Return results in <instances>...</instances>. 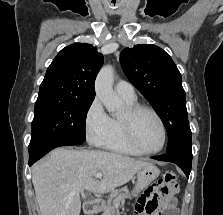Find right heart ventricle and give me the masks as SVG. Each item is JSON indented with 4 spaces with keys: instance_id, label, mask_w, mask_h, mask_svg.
Masks as SVG:
<instances>
[{
    "instance_id": "obj_1",
    "label": "right heart ventricle",
    "mask_w": 223,
    "mask_h": 215,
    "mask_svg": "<svg viewBox=\"0 0 223 215\" xmlns=\"http://www.w3.org/2000/svg\"><path fill=\"white\" fill-rule=\"evenodd\" d=\"M125 101L129 106L136 105L135 100L130 101L125 99ZM100 143L104 149L109 151L127 155H136L126 143L122 124V115L111 118V128Z\"/></svg>"
}]
</instances>
